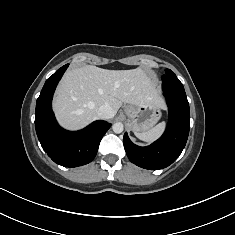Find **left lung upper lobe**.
<instances>
[{"label": "left lung upper lobe", "mask_w": 235, "mask_h": 235, "mask_svg": "<svg viewBox=\"0 0 235 235\" xmlns=\"http://www.w3.org/2000/svg\"><path fill=\"white\" fill-rule=\"evenodd\" d=\"M166 74L163 75L162 77H171V78H177L175 73L173 71H171L170 69H166Z\"/></svg>", "instance_id": "obj_1"}]
</instances>
